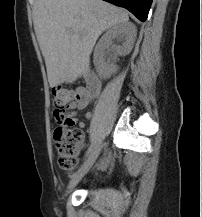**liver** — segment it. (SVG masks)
Masks as SVG:
<instances>
[{
	"label": "liver",
	"instance_id": "6515ba94",
	"mask_svg": "<svg viewBox=\"0 0 202 217\" xmlns=\"http://www.w3.org/2000/svg\"><path fill=\"white\" fill-rule=\"evenodd\" d=\"M33 15L50 87L84 76L98 37L129 19L103 0H35Z\"/></svg>",
	"mask_w": 202,
	"mask_h": 217
}]
</instances>
